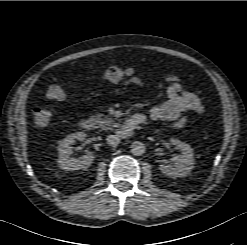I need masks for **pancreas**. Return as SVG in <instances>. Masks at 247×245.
Listing matches in <instances>:
<instances>
[{
  "label": "pancreas",
  "instance_id": "obj_1",
  "mask_svg": "<svg viewBox=\"0 0 247 245\" xmlns=\"http://www.w3.org/2000/svg\"><path fill=\"white\" fill-rule=\"evenodd\" d=\"M91 120L103 130H112L115 126V123L108 116L103 114H96L91 117Z\"/></svg>",
  "mask_w": 247,
  "mask_h": 245
}]
</instances>
